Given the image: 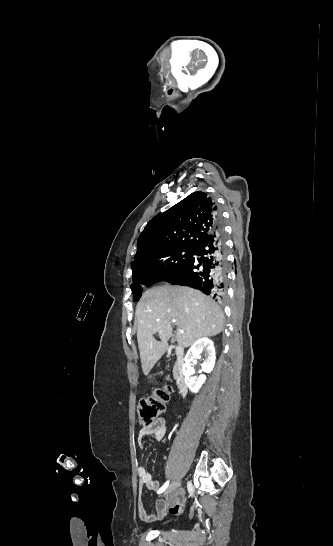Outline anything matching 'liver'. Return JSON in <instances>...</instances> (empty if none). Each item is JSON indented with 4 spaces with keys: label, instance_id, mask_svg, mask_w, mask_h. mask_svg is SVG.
<instances>
[{
    "label": "liver",
    "instance_id": "obj_1",
    "mask_svg": "<svg viewBox=\"0 0 333 546\" xmlns=\"http://www.w3.org/2000/svg\"><path fill=\"white\" fill-rule=\"evenodd\" d=\"M137 340L142 370L148 375L168 349L172 320H176L174 340L183 347L202 337L218 335L224 327V314L218 304L198 290L178 285H162L145 291L136 306ZM184 333H179V330ZM158 333L160 342L154 334Z\"/></svg>",
    "mask_w": 333,
    "mask_h": 546
}]
</instances>
